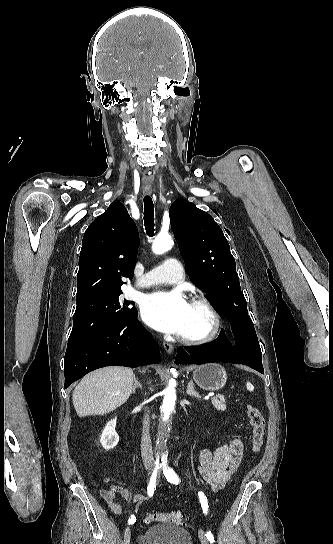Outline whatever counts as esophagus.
Here are the masks:
<instances>
[{
    "instance_id": "1",
    "label": "esophagus",
    "mask_w": 333,
    "mask_h": 544,
    "mask_svg": "<svg viewBox=\"0 0 333 544\" xmlns=\"http://www.w3.org/2000/svg\"><path fill=\"white\" fill-rule=\"evenodd\" d=\"M143 193L146 194V195H149L152 193V189L150 188H145L143 190ZM163 348L168 352V353H173L174 351V347L172 344L168 343V342H163Z\"/></svg>"
}]
</instances>
